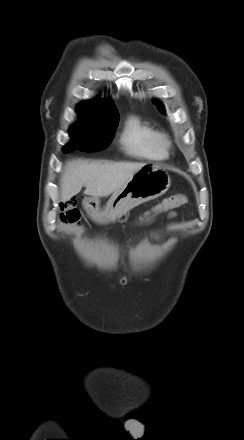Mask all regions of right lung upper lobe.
Masks as SVG:
<instances>
[{"mask_svg": "<svg viewBox=\"0 0 244 440\" xmlns=\"http://www.w3.org/2000/svg\"><path fill=\"white\" fill-rule=\"evenodd\" d=\"M78 113L80 122L91 125L108 126L119 122L118 110L111 100L97 99L84 102L79 105Z\"/></svg>", "mask_w": 244, "mask_h": 440, "instance_id": "right-lung-upper-lobe-1", "label": "right lung upper lobe"}]
</instances>
